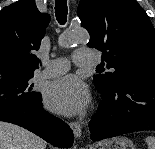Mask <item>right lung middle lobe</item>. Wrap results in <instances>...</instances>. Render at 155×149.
<instances>
[{
	"label": "right lung middle lobe",
	"mask_w": 155,
	"mask_h": 149,
	"mask_svg": "<svg viewBox=\"0 0 155 149\" xmlns=\"http://www.w3.org/2000/svg\"><path fill=\"white\" fill-rule=\"evenodd\" d=\"M33 73H23L0 68V109L27 111L41 100L33 91L30 79Z\"/></svg>",
	"instance_id": "right-lung-middle-lobe-1"
}]
</instances>
